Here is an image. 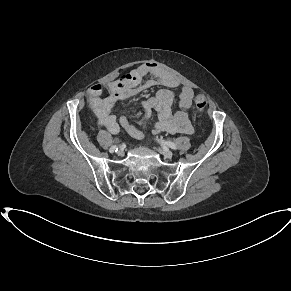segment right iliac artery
I'll use <instances>...</instances> for the list:
<instances>
[{
  "label": "right iliac artery",
  "mask_w": 291,
  "mask_h": 291,
  "mask_svg": "<svg viewBox=\"0 0 291 291\" xmlns=\"http://www.w3.org/2000/svg\"><path fill=\"white\" fill-rule=\"evenodd\" d=\"M118 150V147L115 145V146H112L110 149H109V152L110 153H113V152H117Z\"/></svg>",
  "instance_id": "right-iliac-artery-1"
}]
</instances>
